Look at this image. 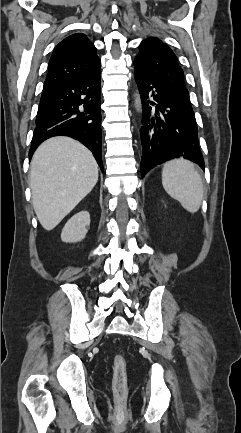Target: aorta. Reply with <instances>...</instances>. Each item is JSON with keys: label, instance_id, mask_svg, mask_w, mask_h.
Listing matches in <instances>:
<instances>
[{"label": "aorta", "instance_id": "aorta-1", "mask_svg": "<svg viewBox=\"0 0 241 433\" xmlns=\"http://www.w3.org/2000/svg\"><path fill=\"white\" fill-rule=\"evenodd\" d=\"M135 102H136L137 109L139 110L141 108V101L138 95L136 97Z\"/></svg>", "mask_w": 241, "mask_h": 433}]
</instances>
